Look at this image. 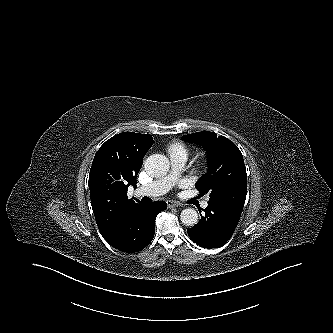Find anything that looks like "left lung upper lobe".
Instances as JSON below:
<instances>
[{
	"label": "left lung upper lobe",
	"instance_id": "left-lung-upper-lobe-1",
	"mask_svg": "<svg viewBox=\"0 0 333 333\" xmlns=\"http://www.w3.org/2000/svg\"><path fill=\"white\" fill-rule=\"evenodd\" d=\"M182 138L199 144L208 154V172L197 181L196 189L203 194L209 193V202L241 214L247 193V175L242 153L237 146L226 137L209 131Z\"/></svg>",
	"mask_w": 333,
	"mask_h": 333
}]
</instances>
